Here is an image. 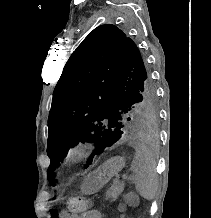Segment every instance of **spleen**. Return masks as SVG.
Listing matches in <instances>:
<instances>
[{
	"mask_svg": "<svg viewBox=\"0 0 211 218\" xmlns=\"http://www.w3.org/2000/svg\"><path fill=\"white\" fill-rule=\"evenodd\" d=\"M132 172H134V184L140 196L145 200H154L158 190V178L156 172V162L148 150H136L132 162Z\"/></svg>",
	"mask_w": 211,
	"mask_h": 218,
	"instance_id": "3e777b00",
	"label": "spleen"
}]
</instances>
